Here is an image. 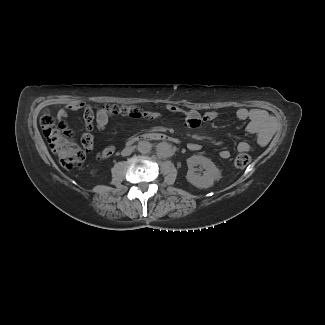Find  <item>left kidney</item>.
<instances>
[{
	"instance_id": "1",
	"label": "left kidney",
	"mask_w": 325,
	"mask_h": 325,
	"mask_svg": "<svg viewBox=\"0 0 325 325\" xmlns=\"http://www.w3.org/2000/svg\"><path fill=\"white\" fill-rule=\"evenodd\" d=\"M201 166L204 171L203 175L196 173V166ZM188 172L186 179L193 186L206 189L211 187L216 180L221 179V171L208 158L202 155H193L187 159Z\"/></svg>"
}]
</instances>
